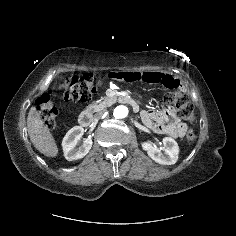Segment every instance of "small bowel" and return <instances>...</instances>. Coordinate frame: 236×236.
<instances>
[{"mask_svg":"<svg viewBox=\"0 0 236 236\" xmlns=\"http://www.w3.org/2000/svg\"><path fill=\"white\" fill-rule=\"evenodd\" d=\"M110 81H117L120 84L125 82H141L161 85L166 88H180L179 80L171 75L160 71L136 72L134 69L119 71L111 68L106 75H99L95 79V86L99 90H106L110 86ZM144 124L158 134H165L174 138L183 137L186 133V125L179 120L176 112L172 108L164 111L144 110L141 113Z\"/></svg>","mask_w":236,"mask_h":236,"instance_id":"c3829d8e","label":"small bowel"}]
</instances>
